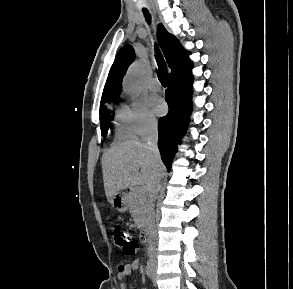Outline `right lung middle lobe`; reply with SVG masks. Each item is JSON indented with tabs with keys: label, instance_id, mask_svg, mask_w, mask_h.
<instances>
[{
	"label": "right lung middle lobe",
	"instance_id": "dd1d6c3e",
	"mask_svg": "<svg viewBox=\"0 0 293 289\" xmlns=\"http://www.w3.org/2000/svg\"><path fill=\"white\" fill-rule=\"evenodd\" d=\"M109 100L101 102V105H100L101 134H102V136L104 138L107 135V132H108V129H109V126H110V120L113 118V116L110 115L109 111H102L104 103L108 102Z\"/></svg>",
	"mask_w": 293,
	"mask_h": 289
}]
</instances>
